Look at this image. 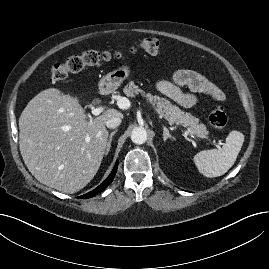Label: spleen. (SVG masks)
Returning <instances> with one entry per match:
<instances>
[{"mask_svg":"<svg viewBox=\"0 0 269 269\" xmlns=\"http://www.w3.org/2000/svg\"><path fill=\"white\" fill-rule=\"evenodd\" d=\"M243 142V133L231 131L221 149L203 150L194 156L198 170L208 178L222 176L234 165Z\"/></svg>","mask_w":269,"mask_h":269,"instance_id":"1","label":"spleen"}]
</instances>
